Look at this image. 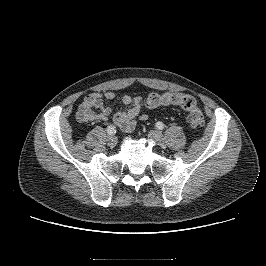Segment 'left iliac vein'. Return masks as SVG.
<instances>
[{
	"mask_svg": "<svg viewBox=\"0 0 266 266\" xmlns=\"http://www.w3.org/2000/svg\"><path fill=\"white\" fill-rule=\"evenodd\" d=\"M148 135L156 144L161 146L166 144L165 138L159 131L151 130Z\"/></svg>",
	"mask_w": 266,
	"mask_h": 266,
	"instance_id": "1",
	"label": "left iliac vein"
}]
</instances>
